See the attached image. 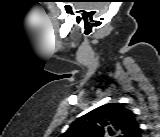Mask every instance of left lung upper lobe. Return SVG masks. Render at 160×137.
<instances>
[{
	"label": "left lung upper lobe",
	"instance_id": "left-lung-upper-lobe-1",
	"mask_svg": "<svg viewBox=\"0 0 160 137\" xmlns=\"http://www.w3.org/2000/svg\"><path fill=\"white\" fill-rule=\"evenodd\" d=\"M135 114L119 103L102 105L74 121L63 137H134Z\"/></svg>",
	"mask_w": 160,
	"mask_h": 137
}]
</instances>
